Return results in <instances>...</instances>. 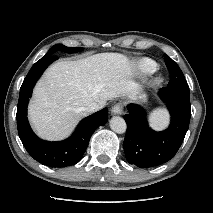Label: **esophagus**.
I'll return each instance as SVG.
<instances>
[{"instance_id": "1", "label": "esophagus", "mask_w": 213, "mask_h": 213, "mask_svg": "<svg viewBox=\"0 0 213 213\" xmlns=\"http://www.w3.org/2000/svg\"><path fill=\"white\" fill-rule=\"evenodd\" d=\"M123 113V105L122 103H117L111 108L112 115H121Z\"/></svg>"}]
</instances>
